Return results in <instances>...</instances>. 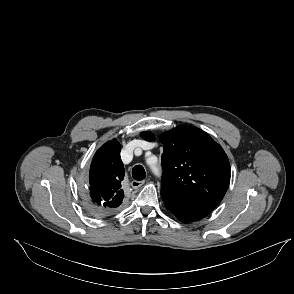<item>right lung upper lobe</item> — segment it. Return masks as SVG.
I'll return each mask as SVG.
<instances>
[{"label": "right lung upper lobe", "mask_w": 294, "mask_h": 294, "mask_svg": "<svg viewBox=\"0 0 294 294\" xmlns=\"http://www.w3.org/2000/svg\"><path fill=\"white\" fill-rule=\"evenodd\" d=\"M120 143L113 139L95 153L89 172L90 197L97 215L107 216L116 211L124 198L121 181L124 167L120 158Z\"/></svg>", "instance_id": "cb5924a9"}]
</instances>
